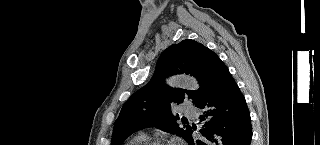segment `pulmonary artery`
Here are the masks:
<instances>
[{"label": "pulmonary artery", "mask_w": 320, "mask_h": 145, "mask_svg": "<svg viewBox=\"0 0 320 145\" xmlns=\"http://www.w3.org/2000/svg\"><path fill=\"white\" fill-rule=\"evenodd\" d=\"M184 114L191 119H195L198 117V109L195 107H185Z\"/></svg>", "instance_id": "e3ab8cb5"}]
</instances>
